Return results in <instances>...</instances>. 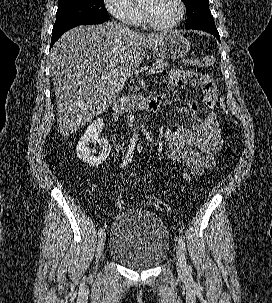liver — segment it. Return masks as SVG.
I'll return each instance as SVG.
<instances>
[{
    "mask_svg": "<svg viewBox=\"0 0 272 303\" xmlns=\"http://www.w3.org/2000/svg\"><path fill=\"white\" fill-rule=\"evenodd\" d=\"M166 34L139 33L114 21L64 33L51 50L60 133L68 136L102 113L141 64L144 49Z\"/></svg>",
    "mask_w": 272,
    "mask_h": 303,
    "instance_id": "liver-1",
    "label": "liver"
}]
</instances>
